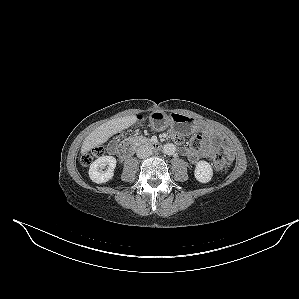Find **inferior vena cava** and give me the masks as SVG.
Here are the masks:
<instances>
[{
	"mask_svg": "<svg viewBox=\"0 0 299 299\" xmlns=\"http://www.w3.org/2000/svg\"><path fill=\"white\" fill-rule=\"evenodd\" d=\"M152 155V149L148 145H141L137 149V157L140 159L147 158Z\"/></svg>",
	"mask_w": 299,
	"mask_h": 299,
	"instance_id": "602c4592",
	"label": "inferior vena cava"
}]
</instances>
